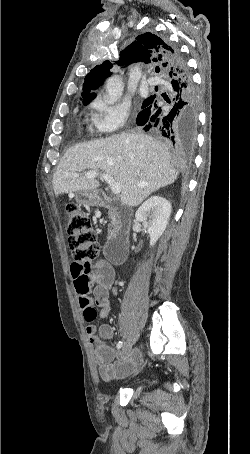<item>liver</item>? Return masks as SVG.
I'll use <instances>...</instances> for the list:
<instances>
[{
	"mask_svg": "<svg viewBox=\"0 0 250 454\" xmlns=\"http://www.w3.org/2000/svg\"><path fill=\"white\" fill-rule=\"evenodd\" d=\"M92 170H100L120 183L121 202L128 206H138L151 193L174 183L179 175L165 144L148 135L121 133L69 148L53 176L55 195L97 190L100 182L82 174Z\"/></svg>",
	"mask_w": 250,
	"mask_h": 454,
	"instance_id": "obj_1",
	"label": "liver"
}]
</instances>
